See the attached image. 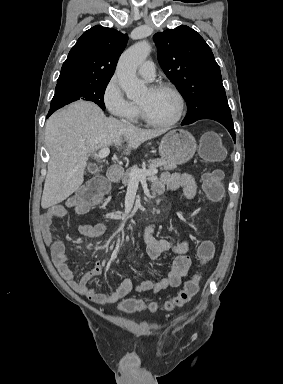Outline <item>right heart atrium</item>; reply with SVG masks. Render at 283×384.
<instances>
[{"label":"right heart atrium","mask_w":283,"mask_h":384,"mask_svg":"<svg viewBox=\"0 0 283 384\" xmlns=\"http://www.w3.org/2000/svg\"><path fill=\"white\" fill-rule=\"evenodd\" d=\"M102 98L107 111L121 123L130 122L138 115L137 106L126 98L116 75L110 77L106 82Z\"/></svg>","instance_id":"1"}]
</instances>
